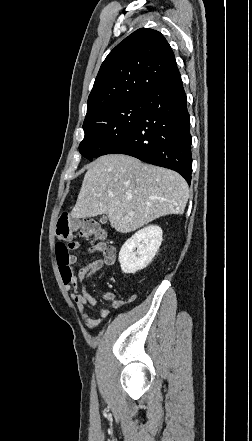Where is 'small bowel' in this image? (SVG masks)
Wrapping results in <instances>:
<instances>
[{
  "label": "small bowel",
  "instance_id": "small-bowel-1",
  "mask_svg": "<svg viewBox=\"0 0 252 441\" xmlns=\"http://www.w3.org/2000/svg\"><path fill=\"white\" fill-rule=\"evenodd\" d=\"M70 248L73 250H78L80 248L79 242H71ZM101 253V256L93 260L92 262L85 265L79 272L78 278L73 274L72 278L70 280L65 279L62 276V279L64 281L65 287L70 288L71 285H73L75 288H77V282L79 280L81 284V291H75L71 297L73 301L75 302L78 310L82 314V321L87 329H93L95 326H98L102 323L103 319L107 318L109 316V311L101 308L98 310L99 318H94L90 316L86 311L85 308L88 305L95 306L96 305V299L91 296L87 290H86V284L87 282L95 275L96 272L101 270L105 266H111L115 262V252L114 249L111 246L104 245L102 250H99ZM75 257L72 256V263H74ZM101 296L108 302L111 303V305L115 308L121 307L122 303L117 298V296L110 292V291H102Z\"/></svg>",
  "mask_w": 252,
  "mask_h": 441
}]
</instances>
